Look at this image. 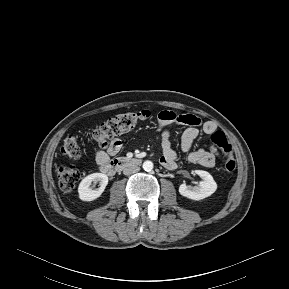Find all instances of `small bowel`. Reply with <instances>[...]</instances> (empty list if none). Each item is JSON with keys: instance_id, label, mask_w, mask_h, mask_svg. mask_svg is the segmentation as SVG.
Wrapping results in <instances>:
<instances>
[{"instance_id": "1", "label": "small bowel", "mask_w": 289, "mask_h": 289, "mask_svg": "<svg viewBox=\"0 0 289 289\" xmlns=\"http://www.w3.org/2000/svg\"><path fill=\"white\" fill-rule=\"evenodd\" d=\"M176 126H186L181 135L180 148L187 154V160L190 163L200 165L205 168H212L215 165L217 152L208 151L200 147L195 151H190L194 140L200 131L212 135L217 131V126L213 121L201 122L200 119L192 114H177L173 111L164 110L159 112L157 119V131L161 135L162 155L160 157L161 165L168 170H175L178 166L179 156L172 148L171 131ZM122 148V142L119 138L112 139L105 150H98L95 159L98 165L110 160V157L117 155Z\"/></svg>"}]
</instances>
